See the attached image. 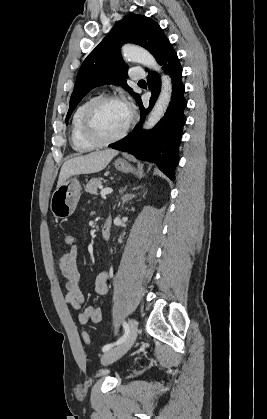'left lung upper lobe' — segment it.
Segmentation results:
<instances>
[{
	"instance_id": "left-lung-upper-lobe-1",
	"label": "left lung upper lobe",
	"mask_w": 267,
	"mask_h": 419,
	"mask_svg": "<svg viewBox=\"0 0 267 419\" xmlns=\"http://www.w3.org/2000/svg\"><path fill=\"white\" fill-rule=\"evenodd\" d=\"M168 42L159 24L149 17L128 14L118 21L82 63L70 98L66 121L91 89L104 84L120 85L137 101L140 95L133 92L125 80L128 67L121 58V46L124 43L141 45L158 61Z\"/></svg>"
}]
</instances>
